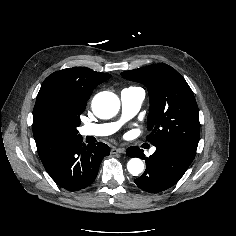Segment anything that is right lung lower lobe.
<instances>
[{"label": "right lung lower lobe", "mask_w": 236, "mask_h": 236, "mask_svg": "<svg viewBox=\"0 0 236 236\" xmlns=\"http://www.w3.org/2000/svg\"><path fill=\"white\" fill-rule=\"evenodd\" d=\"M39 157L50 177L68 191L86 188L96 178L110 148L101 142L85 145L80 135L35 140Z\"/></svg>", "instance_id": "right-lung-lower-lobe-1"}]
</instances>
